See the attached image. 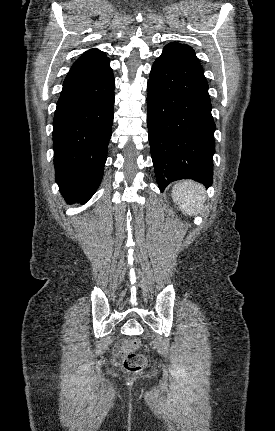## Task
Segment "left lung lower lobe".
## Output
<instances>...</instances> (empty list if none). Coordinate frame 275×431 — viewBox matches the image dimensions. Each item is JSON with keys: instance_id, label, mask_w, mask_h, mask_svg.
Returning <instances> with one entry per match:
<instances>
[{"instance_id": "0a47b994", "label": "left lung lower lobe", "mask_w": 275, "mask_h": 431, "mask_svg": "<svg viewBox=\"0 0 275 431\" xmlns=\"http://www.w3.org/2000/svg\"><path fill=\"white\" fill-rule=\"evenodd\" d=\"M147 89L149 144L160 190L179 179L210 186L215 123L201 65L168 44L152 66Z\"/></svg>"}]
</instances>
